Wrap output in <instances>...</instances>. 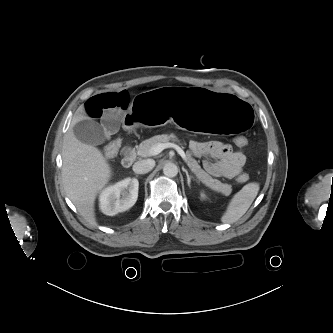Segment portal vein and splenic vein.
<instances>
[{"label": "portal vein and splenic vein", "mask_w": 333, "mask_h": 333, "mask_svg": "<svg viewBox=\"0 0 333 333\" xmlns=\"http://www.w3.org/2000/svg\"><path fill=\"white\" fill-rule=\"evenodd\" d=\"M166 148H174L178 152V154L183 158V160H185V161L187 160L186 154L183 151V149L180 146H178L177 144L170 143V142L158 143L157 145H155L151 148L150 153L152 155H158L160 152H162Z\"/></svg>", "instance_id": "18ae733b"}]
</instances>
